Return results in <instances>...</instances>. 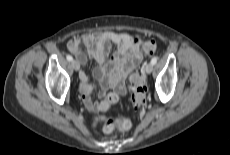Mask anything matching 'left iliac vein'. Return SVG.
<instances>
[{"label": "left iliac vein", "mask_w": 230, "mask_h": 155, "mask_svg": "<svg viewBox=\"0 0 230 155\" xmlns=\"http://www.w3.org/2000/svg\"><path fill=\"white\" fill-rule=\"evenodd\" d=\"M152 71H153V64L152 63L146 64V66H145V72L147 74H150Z\"/></svg>", "instance_id": "4c4485c4"}]
</instances>
